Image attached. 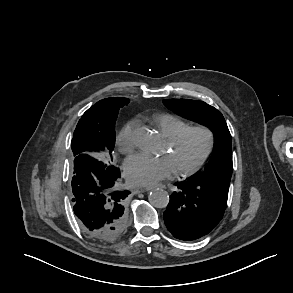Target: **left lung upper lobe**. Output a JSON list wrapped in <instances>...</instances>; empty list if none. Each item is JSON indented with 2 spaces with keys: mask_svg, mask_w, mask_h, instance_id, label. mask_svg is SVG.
Listing matches in <instances>:
<instances>
[{
  "mask_svg": "<svg viewBox=\"0 0 293 293\" xmlns=\"http://www.w3.org/2000/svg\"><path fill=\"white\" fill-rule=\"evenodd\" d=\"M168 109L189 120L207 126L214 134V149L204 171L194 179L203 182L224 181L230 183L233 171L232 138L223 115L202 101L189 99H165Z\"/></svg>",
  "mask_w": 293,
  "mask_h": 293,
  "instance_id": "left-lung-upper-lobe-1",
  "label": "left lung upper lobe"
}]
</instances>
